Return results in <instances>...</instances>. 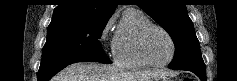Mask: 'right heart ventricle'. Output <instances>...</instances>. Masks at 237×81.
I'll return each instance as SVG.
<instances>
[{
    "mask_svg": "<svg viewBox=\"0 0 237 81\" xmlns=\"http://www.w3.org/2000/svg\"><path fill=\"white\" fill-rule=\"evenodd\" d=\"M151 21L140 10L128 9L124 12L113 39V56L117 64L127 68H144L146 63L138 53L140 31Z\"/></svg>",
    "mask_w": 237,
    "mask_h": 81,
    "instance_id": "1",
    "label": "right heart ventricle"
}]
</instances>
